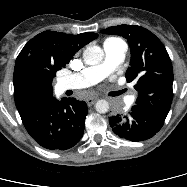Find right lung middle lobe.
Segmentation results:
<instances>
[{
    "instance_id": "1",
    "label": "right lung middle lobe",
    "mask_w": 187,
    "mask_h": 187,
    "mask_svg": "<svg viewBox=\"0 0 187 187\" xmlns=\"http://www.w3.org/2000/svg\"><path fill=\"white\" fill-rule=\"evenodd\" d=\"M55 74H56L55 71L34 73L30 76L29 81L33 86L36 87H41V86L51 87V83Z\"/></svg>"
}]
</instances>
